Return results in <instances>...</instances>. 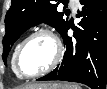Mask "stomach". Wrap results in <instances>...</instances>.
Instances as JSON below:
<instances>
[{"label":"stomach","instance_id":"obj_1","mask_svg":"<svg viewBox=\"0 0 107 89\" xmlns=\"http://www.w3.org/2000/svg\"><path fill=\"white\" fill-rule=\"evenodd\" d=\"M31 89H65V85L57 86V85L47 84L46 86H44V88L36 87Z\"/></svg>","mask_w":107,"mask_h":89}]
</instances>
